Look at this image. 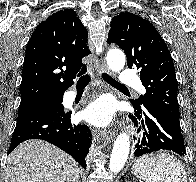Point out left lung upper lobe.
Instances as JSON below:
<instances>
[{
    "label": "left lung upper lobe",
    "instance_id": "obj_1",
    "mask_svg": "<svg viewBox=\"0 0 196 182\" xmlns=\"http://www.w3.org/2000/svg\"><path fill=\"white\" fill-rule=\"evenodd\" d=\"M107 43L124 50L129 68L139 69L146 94L131 100L137 106L151 103L179 120L177 80L172 57L156 28L142 17L122 12L112 18Z\"/></svg>",
    "mask_w": 196,
    "mask_h": 182
}]
</instances>
